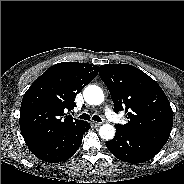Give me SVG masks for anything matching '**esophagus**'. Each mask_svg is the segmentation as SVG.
Masks as SVG:
<instances>
[{"instance_id":"obj_1","label":"esophagus","mask_w":184,"mask_h":184,"mask_svg":"<svg viewBox=\"0 0 184 184\" xmlns=\"http://www.w3.org/2000/svg\"><path fill=\"white\" fill-rule=\"evenodd\" d=\"M92 125L96 126V127H99L102 125V123L100 122H92Z\"/></svg>"}]
</instances>
